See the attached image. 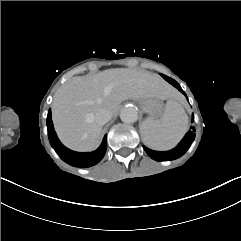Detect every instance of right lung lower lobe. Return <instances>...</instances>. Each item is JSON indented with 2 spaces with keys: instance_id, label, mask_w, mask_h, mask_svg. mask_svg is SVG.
Returning <instances> with one entry per match:
<instances>
[{
  "instance_id": "right-lung-lower-lobe-1",
  "label": "right lung lower lobe",
  "mask_w": 241,
  "mask_h": 241,
  "mask_svg": "<svg viewBox=\"0 0 241 241\" xmlns=\"http://www.w3.org/2000/svg\"><path fill=\"white\" fill-rule=\"evenodd\" d=\"M47 128H48V135L50 139V143L52 147L57 151L59 156L68 164L79 167V168H86L91 167L99 163L105 155L106 148H107V137L104 136L102 144L100 147L90 153H81L75 152L68 148H66L58 139L54 127L53 122L51 119V110L48 112L47 116Z\"/></svg>"
}]
</instances>
